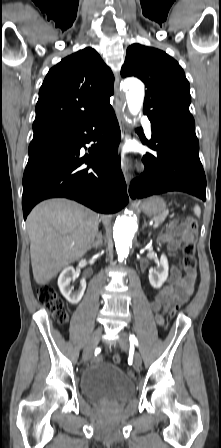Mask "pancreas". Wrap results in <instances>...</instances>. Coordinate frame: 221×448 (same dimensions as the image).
Instances as JSON below:
<instances>
[{
    "label": "pancreas",
    "instance_id": "cf45deb5",
    "mask_svg": "<svg viewBox=\"0 0 221 448\" xmlns=\"http://www.w3.org/2000/svg\"><path fill=\"white\" fill-rule=\"evenodd\" d=\"M166 214H167V213H166ZM166 214H165V215L154 216L152 219H153L155 222H159V223H161V222L164 221V218H165Z\"/></svg>",
    "mask_w": 221,
    "mask_h": 448
}]
</instances>
